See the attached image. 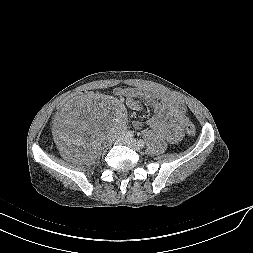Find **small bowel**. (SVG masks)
I'll return each instance as SVG.
<instances>
[{
	"label": "small bowel",
	"instance_id": "c3829d8e",
	"mask_svg": "<svg viewBox=\"0 0 253 253\" xmlns=\"http://www.w3.org/2000/svg\"><path fill=\"white\" fill-rule=\"evenodd\" d=\"M114 94L124 100L128 108L135 111L141 109L137 98H144L154 111V115L147 120L146 124L170 143H177L181 140L183 136L182 127L187 117L186 108L178 99L167 95L150 93L137 88H116ZM68 110L64 112H68ZM133 125L137 129L144 126L141 121H135ZM58 128L61 133H66V115L59 121Z\"/></svg>",
	"mask_w": 253,
	"mask_h": 253
}]
</instances>
